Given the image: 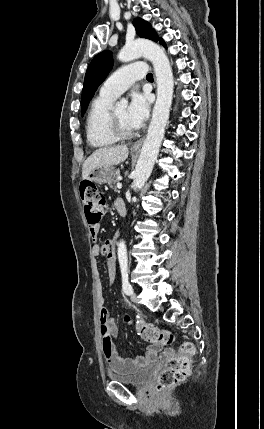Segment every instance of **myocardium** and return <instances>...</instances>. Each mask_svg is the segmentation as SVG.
Listing matches in <instances>:
<instances>
[{
	"label": "myocardium",
	"instance_id": "myocardium-1",
	"mask_svg": "<svg viewBox=\"0 0 264 429\" xmlns=\"http://www.w3.org/2000/svg\"><path fill=\"white\" fill-rule=\"evenodd\" d=\"M109 128L111 133L119 140L130 139L136 135V130L128 131L119 122L115 109H111L109 113Z\"/></svg>",
	"mask_w": 264,
	"mask_h": 429
}]
</instances>
